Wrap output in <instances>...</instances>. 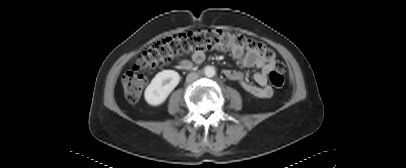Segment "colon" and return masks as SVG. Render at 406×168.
Segmentation results:
<instances>
[{
    "label": "colon",
    "instance_id": "colon-1",
    "mask_svg": "<svg viewBox=\"0 0 406 168\" xmlns=\"http://www.w3.org/2000/svg\"><path fill=\"white\" fill-rule=\"evenodd\" d=\"M254 50L266 61L274 60L273 51L265 44L242 34L230 33L220 29H198L164 38L150 46L138 59L131 71L124 74L122 84L126 98L136 102L144 89V71L162 66L172 59L192 51L209 49ZM283 64L275 61V68L269 73V81L275 88L284 85Z\"/></svg>",
    "mask_w": 406,
    "mask_h": 168
}]
</instances>
